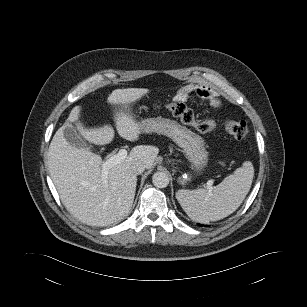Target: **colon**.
I'll list each match as a JSON object with an SVG mask.
<instances>
[{
    "instance_id": "obj_1",
    "label": "colon",
    "mask_w": 307,
    "mask_h": 307,
    "mask_svg": "<svg viewBox=\"0 0 307 307\" xmlns=\"http://www.w3.org/2000/svg\"><path fill=\"white\" fill-rule=\"evenodd\" d=\"M155 108H163L169 111L172 115L179 118L185 124L193 126L200 132H211L218 127V124L212 120H198L193 111L190 110L184 103L171 102L162 103L157 102L154 104ZM223 129L232 135L237 140H243L248 135V125L244 121H225L222 124Z\"/></svg>"
}]
</instances>
